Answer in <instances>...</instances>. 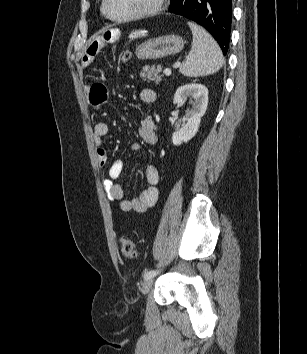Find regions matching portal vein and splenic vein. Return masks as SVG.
<instances>
[{
	"mask_svg": "<svg viewBox=\"0 0 307 354\" xmlns=\"http://www.w3.org/2000/svg\"><path fill=\"white\" fill-rule=\"evenodd\" d=\"M164 73H165L166 76H170V75H171V69L166 68V69L164 70Z\"/></svg>",
	"mask_w": 307,
	"mask_h": 354,
	"instance_id": "obj_1",
	"label": "portal vein and splenic vein"
}]
</instances>
